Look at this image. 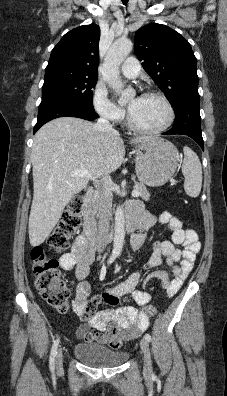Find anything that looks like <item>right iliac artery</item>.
Segmentation results:
<instances>
[{"label": "right iliac artery", "mask_w": 227, "mask_h": 396, "mask_svg": "<svg viewBox=\"0 0 227 396\" xmlns=\"http://www.w3.org/2000/svg\"><path fill=\"white\" fill-rule=\"evenodd\" d=\"M115 258H116V255L112 254L108 260V264H111L112 262H114ZM58 345H59V339L55 340L52 345L50 359H49V366H50L51 371H54V369H55V357L57 354Z\"/></svg>", "instance_id": "right-iliac-artery-1"}]
</instances>
